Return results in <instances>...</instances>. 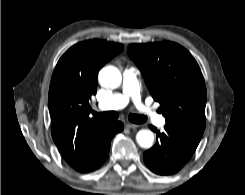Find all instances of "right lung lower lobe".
I'll list each match as a JSON object with an SVG mask.
<instances>
[{"label": "right lung lower lobe", "mask_w": 245, "mask_h": 195, "mask_svg": "<svg viewBox=\"0 0 245 195\" xmlns=\"http://www.w3.org/2000/svg\"><path fill=\"white\" fill-rule=\"evenodd\" d=\"M123 130L121 122H105L98 130L95 137L94 156L89 165L77 169L79 172H91L99 168L107 159L112 137Z\"/></svg>", "instance_id": "right-lung-lower-lobe-1"}]
</instances>
